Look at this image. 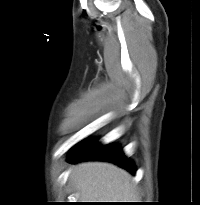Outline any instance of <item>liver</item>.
<instances>
[{
  "instance_id": "1",
  "label": "liver",
  "mask_w": 200,
  "mask_h": 205,
  "mask_svg": "<svg viewBox=\"0 0 200 205\" xmlns=\"http://www.w3.org/2000/svg\"><path fill=\"white\" fill-rule=\"evenodd\" d=\"M70 179L83 202H129L138 194L131 175L106 162H82L73 166ZM122 200V201H119Z\"/></svg>"
}]
</instances>
